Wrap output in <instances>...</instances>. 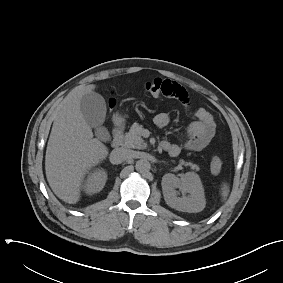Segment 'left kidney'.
Listing matches in <instances>:
<instances>
[{
	"instance_id": "left-kidney-1",
	"label": "left kidney",
	"mask_w": 283,
	"mask_h": 283,
	"mask_svg": "<svg viewBox=\"0 0 283 283\" xmlns=\"http://www.w3.org/2000/svg\"><path fill=\"white\" fill-rule=\"evenodd\" d=\"M176 188L182 191L183 197H177ZM162 190L166 203L178 211L197 213L205 208L204 189L200 177L194 172H187L181 178L165 174L162 178Z\"/></svg>"
}]
</instances>
